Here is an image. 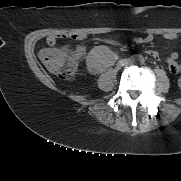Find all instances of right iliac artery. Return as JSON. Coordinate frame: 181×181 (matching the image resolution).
I'll return each instance as SVG.
<instances>
[{
    "instance_id": "obj_1",
    "label": "right iliac artery",
    "mask_w": 181,
    "mask_h": 181,
    "mask_svg": "<svg viewBox=\"0 0 181 181\" xmlns=\"http://www.w3.org/2000/svg\"><path fill=\"white\" fill-rule=\"evenodd\" d=\"M136 60H137L136 57H131V58L129 59L130 62H135Z\"/></svg>"
}]
</instances>
